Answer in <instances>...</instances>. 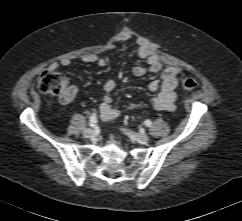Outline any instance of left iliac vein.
<instances>
[{
    "instance_id": "4c4485c4",
    "label": "left iliac vein",
    "mask_w": 242,
    "mask_h": 221,
    "mask_svg": "<svg viewBox=\"0 0 242 221\" xmlns=\"http://www.w3.org/2000/svg\"><path fill=\"white\" fill-rule=\"evenodd\" d=\"M134 140H136L137 142L141 143V144H146L149 142L150 138L148 135L146 134H138V133H133V132H129L128 133Z\"/></svg>"
}]
</instances>
